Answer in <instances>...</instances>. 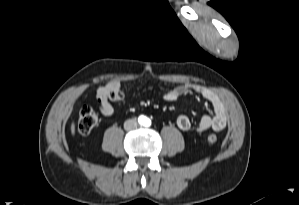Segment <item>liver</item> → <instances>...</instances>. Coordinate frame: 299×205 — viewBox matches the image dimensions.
<instances>
[{
	"instance_id": "obj_1",
	"label": "liver",
	"mask_w": 299,
	"mask_h": 205,
	"mask_svg": "<svg viewBox=\"0 0 299 205\" xmlns=\"http://www.w3.org/2000/svg\"><path fill=\"white\" fill-rule=\"evenodd\" d=\"M71 133H72L73 136L75 135V124H74V122H72V124H71Z\"/></svg>"
}]
</instances>
